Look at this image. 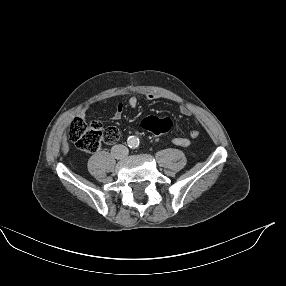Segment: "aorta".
Instances as JSON below:
<instances>
[{
  "label": "aorta",
  "instance_id": "762f6f07",
  "mask_svg": "<svg viewBox=\"0 0 286 286\" xmlns=\"http://www.w3.org/2000/svg\"><path fill=\"white\" fill-rule=\"evenodd\" d=\"M127 144L130 148H137L139 146V138L136 136H130L127 139Z\"/></svg>",
  "mask_w": 286,
  "mask_h": 286
}]
</instances>
